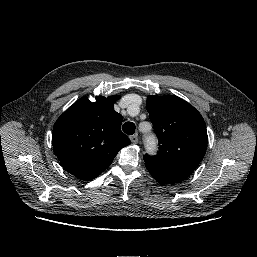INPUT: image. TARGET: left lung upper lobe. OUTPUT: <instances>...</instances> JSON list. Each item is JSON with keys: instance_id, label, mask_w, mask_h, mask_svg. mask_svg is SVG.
Listing matches in <instances>:
<instances>
[{"instance_id": "5c2ea615", "label": "left lung upper lobe", "mask_w": 257, "mask_h": 257, "mask_svg": "<svg viewBox=\"0 0 257 257\" xmlns=\"http://www.w3.org/2000/svg\"><path fill=\"white\" fill-rule=\"evenodd\" d=\"M147 111L159 139V152L154 157L144 155L145 166L187 178L206 152L208 137L203 117L174 95L149 96Z\"/></svg>"}]
</instances>
